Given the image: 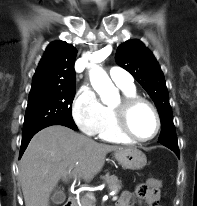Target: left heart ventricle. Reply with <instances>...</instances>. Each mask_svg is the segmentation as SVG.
<instances>
[{"mask_svg": "<svg viewBox=\"0 0 197 206\" xmlns=\"http://www.w3.org/2000/svg\"><path fill=\"white\" fill-rule=\"evenodd\" d=\"M129 124L132 132L141 138L151 136L156 127L155 117L146 105H138L131 111Z\"/></svg>", "mask_w": 197, "mask_h": 206, "instance_id": "left-heart-ventricle-1", "label": "left heart ventricle"}]
</instances>
